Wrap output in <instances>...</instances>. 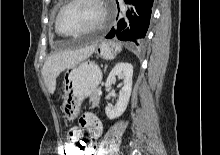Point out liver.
I'll use <instances>...</instances> for the list:
<instances>
[{
	"label": "liver",
	"instance_id": "1",
	"mask_svg": "<svg viewBox=\"0 0 220 155\" xmlns=\"http://www.w3.org/2000/svg\"><path fill=\"white\" fill-rule=\"evenodd\" d=\"M95 50L94 46L84 49L63 50L47 58L42 68V76L49 93L56 89V79L66 69H70L87 59Z\"/></svg>",
	"mask_w": 220,
	"mask_h": 155
}]
</instances>
